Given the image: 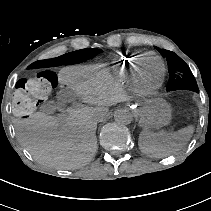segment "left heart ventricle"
Segmentation results:
<instances>
[{
    "mask_svg": "<svg viewBox=\"0 0 211 211\" xmlns=\"http://www.w3.org/2000/svg\"><path fill=\"white\" fill-rule=\"evenodd\" d=\"M151 64H152V67H153V69H154L155 71H159V70H160L159 64H158V62H157L156 60H151ZM149 79H150V81H152V82H154V81L156 80L154 77H150Z\"/></svg>",
    "mask_w": 211,
    "mask_h": 211,
    "instance_id": "left-heart-ventricle-1",
    "label": "left heart ventricle"
}]
</instances>
